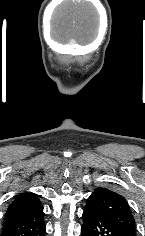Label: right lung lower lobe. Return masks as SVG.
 I'll return each mask as SVG.
<instances>
[{
    "label": "right lung lower lobe",
    "instance_id": "obj_1",
    "mask_svg": "<svg viewBox=\"0 0 145 236\" xmlns=\"http://www.w3.org/2000/svg\"><path fill=\"white\" fill-rule=\"evenodd\" d=\"M43 207L5 219L1 236H44Z\"/></svg>",
    "mask_w": 145,
    "mask_h": 236
}]
</instances>
